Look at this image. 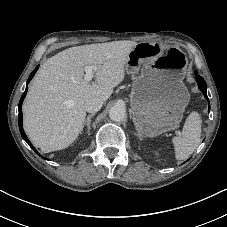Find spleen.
Listing matches in <instances>:
<instances>
[{
    "mask_svg": "<svg viewBox=\"0 0 227 227\" xmlns=\"http://www.w3.org/2000/svg\"><path fill=\"white\" fill-rule=\"evenodd\" d=\"M201 137V119L197 112L187 117L182 133L172 139L177 160L188 158L198 147Z\"/></svg>",
    "mask_w": 227,
    "mask_h": 227,
    "instance_id": "spleen-1",
    "label": "spleen"
}]
</instances>
